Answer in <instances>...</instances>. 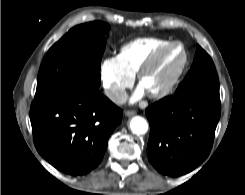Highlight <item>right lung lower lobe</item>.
Returning <instances> with one entry per match:
<instances>
[{
  "mask_svg": "<svg viewBox=\"0 0 245 195\" xmlns=\"http://www.w3.org/2000/svg\"><path fill=\"white\" fill-rule=\"evenodd\" d=\"M122 110L98 88L34 99L30 120L37 151L56 169L84 175L103 159Z\"/></svg>",
  "mask_w": 245,
  "mask_h": 195,
  "instance_id": "right-lung-lower-lobe-1",
  "label": "right lung lower lobe"
}]
</instances>
